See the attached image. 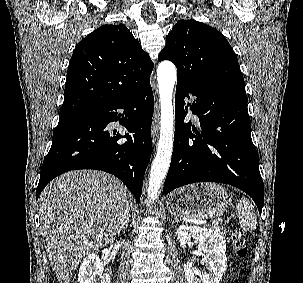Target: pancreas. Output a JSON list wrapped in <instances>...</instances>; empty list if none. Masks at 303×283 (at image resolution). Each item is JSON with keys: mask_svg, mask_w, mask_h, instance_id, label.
Returning a JSON list of instances; mask_svg holds the SVG:
<instances>
[{"mask_svg": "<svg viewBox=\"0 0 303 283\" xmlns=\"http://www.w3.org/2000/svg\"><path fill=\"white\" fill-rule=\"evenodd\" d=\"M210 229L214 232H217V233H221V234L225 233V229L221 226H218L217 223L213 224V226Z\"/></svg>", "mask_w": 303, "mask_h": 283, "instance_id": "pancreas-1", "label": "pancreas"}]
</instances>
